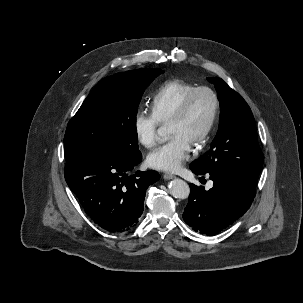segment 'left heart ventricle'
<instances>
[{
	"instance_id": "obj_1",
	"label": "left heart ventricle",
	"mask_w": 303,
	"mask_h": 303,
	"mask_svg": "<svg viewBox=\"0 0 303 303\" xmlns=\"http://www.w3.org/2000/svg\"><path fill=\"white\" fill-rule=\"evenodd\" d=\"M212 111L211 95L207 92L198 93L193 98L185 117L180 121L168 123L169 135H181L194 145L205 130Z\"/></svg>"
}]
</instances>
